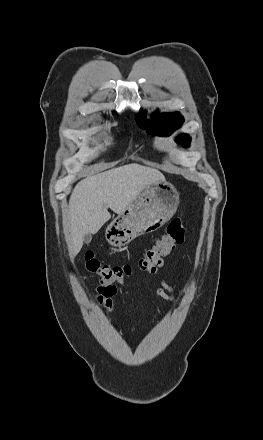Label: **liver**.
Here are the masks:
<instances>
[{"label":"liver","mask_w":263,"mask_h":440,"mask_svg":"<svg viewBox=\"0 0 263 440\" xmlns=\"http://www.w3.org/2000/svg\"><path fill=\"white\" fill-rule=\"evenodd\" d=\"M164 179L160 171L132 163L80 181L71 194L66 219L70 258L80 252L86 234H96L111 218L108 208L121 215L144 187Z\"/></svg>","instance_id":"liver-1"}]
</instances>
